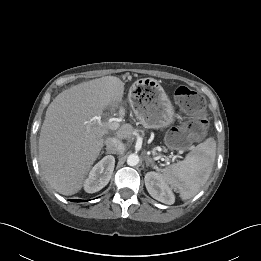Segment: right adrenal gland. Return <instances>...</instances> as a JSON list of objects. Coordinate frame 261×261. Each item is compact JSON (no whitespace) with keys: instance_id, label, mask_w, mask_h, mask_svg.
Returning <instances> with one entry per match:
<instances>
[{"instance_id":"1","label":"right adrenal gland","mask_w":261,"mask_h":261,"mask_svg":"<svg viewBox=\"0 0 261 261\" xmlns=\"http://www.w3.org/2000/svg\"><path fill=\"white\" fill-rule=\"evenodd\" d=\"M102 153H104V151H102ZM106 154H109V152H108V151H106Z\"/></svg>"}]
</instances>
